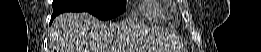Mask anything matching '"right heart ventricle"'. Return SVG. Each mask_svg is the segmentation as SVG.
I'll return each mask as SVG.
<instances>
[{
    "instance_id": "e07e8e85",
    "label": "right heart ventricle",
    "mask_w": 261,
    "mask_h": 52,
    "mask_svg": "<svg viewBox=\"0 0 261 52\" xmlns=\"http://www.w3.org/2000/svg\"><path fill=\"white\" fill-rule=\"evenodd\" d=\"M140 17L151 20L161 21L166 19L167 9L157 0H147L139 9Z\"/></svg>"
}]
</instances>
